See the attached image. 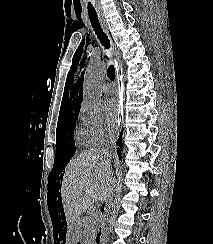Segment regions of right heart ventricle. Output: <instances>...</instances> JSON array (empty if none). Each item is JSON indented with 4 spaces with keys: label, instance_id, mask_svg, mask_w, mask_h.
Segmentation results:
<instances>
[{
    "label": "right heart ventricle",
    "instance_id": "obj_1",
    "mask_svg": "<svg viewBox=\"0 0 213 244\" xmlns=\"http://www.w3.org/2000/svg\"><path fill=\"white\" fill-rule=\"evenodd\" d=\"M76 134H77V136L85 143V136H84V132L82 131V130H80V129H78L77 131H76ZM86 144V143H85Z\"/></svg>",
    "mask_w": 213,
    "mask_h": 244
}]
</instances>
